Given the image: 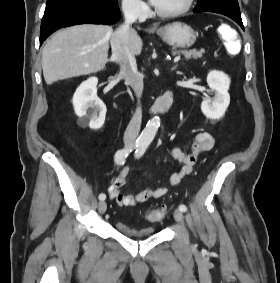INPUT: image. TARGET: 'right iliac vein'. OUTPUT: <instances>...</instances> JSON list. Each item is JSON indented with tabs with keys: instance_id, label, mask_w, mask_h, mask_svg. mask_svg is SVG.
<instances>
[{
	"instance_id": "63e3f726",
	"label": "right iliac vein",
	"mask_w": 280,
	"mask_h": 283,
	"mask_svg": "<svg viewBox=\"0 0 280 283\" xmlns=\"http://www.w3.org/2000/svg\"><path fill=\"white\" fill-rule=\"evenodd\" d=\"M98 209L100 213H105L106 209H107V204L105 201H100L98 204Z\"/></svg>"
}]
</instances>
